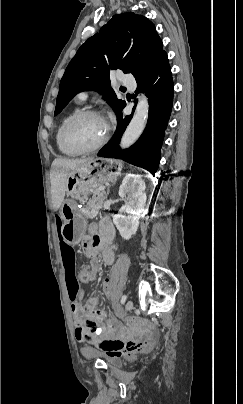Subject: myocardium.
<instances>
[{"mask_svg":"<svg viewBox=\"0 0 243 404\" xmlns=\"http://www.w3.org/2000/svg\"><path fill=\"white\" fill-rule=\"evenodd\" d=\"M78 97V96H77ZM85 116L100 117V114L92 109L83 108L72 113L63 123L61 127V139L69 147L74 148L82 153H90L101 149L108 141V135L105 133L103 139L94 146H84L71 139L68 135L70 126L77 120ZM101 118V117H100Z\"/></svg>","mask_w":243,"mask_h":404,"instance_id":"myocardium-1","label":"myocardium"}]
</instances>
